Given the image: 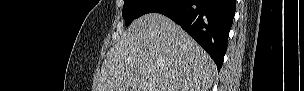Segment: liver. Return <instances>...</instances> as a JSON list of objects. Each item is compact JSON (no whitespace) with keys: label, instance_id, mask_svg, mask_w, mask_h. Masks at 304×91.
Returning <instances> with one entry per match:
<instances>
[{"label":"liver","instance_id":"liver-1","mask_svg":"<svg viewBox=\"0 0 304 91\" xmlns=\"http://www.w3.org/2000/svg\"><path fill=\"white\" fill-rule=\"evenodd\" d=\"M216 65L175 22L159 13L136 19L109 50L98 91H208Z\"/></svg>","mask_w":304,"mask_h":91}]
</instances>
